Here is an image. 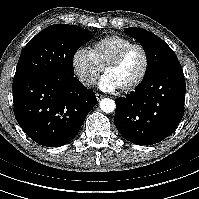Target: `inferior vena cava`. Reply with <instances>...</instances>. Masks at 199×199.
Returning a JSON list of instances; mask_svg holds the SVG:
<instances>
[{
    "label": "inferior vena cava",
    "instance_id": "inferior-vena-cava-1",
    "mask_svg": "<svg viewBox=\"0 0 199 199\" xmlns=\"http://www.w3.org/2000/svg\"><path fill=\"white\" fill-rule=\"evenodd\" d=\"M81 82L87 86H90L94 83V80L91 78H81Z\"/></svg>",
    "mask_w": 199,
    "mask_h": 199
}]
</instances>
